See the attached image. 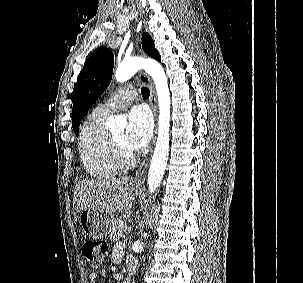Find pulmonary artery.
Masks as SVG:
<instances>
[{"label":"pulmonary artery","mask_w":303,"mask_h":283,"mask_svg":"<svg viewBox=\"0 0 303 283\" xmlns=\"http://www.w3.org/2000/svg\"><path fill=\"white\" fill-rule=\"evenodd\" d=\"M136 94L133 86L123 87L97 108L106 114H111L129 105L136 97Z\"/></svg>","instance_id":"e3ab8cb5"}]
</instances>
